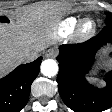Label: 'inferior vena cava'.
I'll use <instances>...</instances> for the list:
<instances>
[{"label": "inferior vena cava", "instance_id": "602c4592", "mask_svg": "<svg viewBox=\"0 0 112 112\" xmlns=\"http://www.w3.org/2000/svg\"><path fill=\"white\" fill-rule=\"evenodd\" d=\"M38 57V52L34 50H25L19 54L21 62H31Z\"/></svg>", "mask_w": 112, "mask_h": 112}]
</instances>
